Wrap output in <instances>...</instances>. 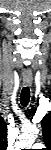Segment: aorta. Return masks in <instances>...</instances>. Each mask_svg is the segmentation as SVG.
I'll return each mask as SVG.
<instances>
[{"mask_svg":"<svg viewBox=\"0 0 51 150\" xmlns=\"http://www.w3.org/2000/svg\"><path fill=\"white\" fill-rule=\"evenodd\" d=\"M38 133L36 127H29L23 130L15 142V150L28 149V147H31L35 142Z\"/></svg>","mask_w":51,"mask_h":150,"instance_id":"762f6f07","label":"aorta"}]
</instances>
